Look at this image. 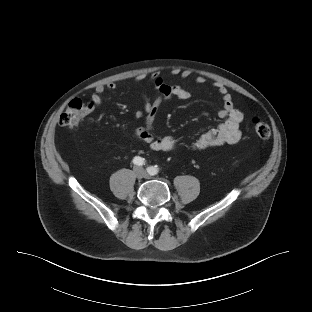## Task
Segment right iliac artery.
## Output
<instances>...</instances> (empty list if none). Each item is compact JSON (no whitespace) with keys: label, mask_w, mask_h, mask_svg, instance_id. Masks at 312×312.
Instances as JSON below:
<instances>
[{"label":"right iliac artery","mask_w":312,"mask_h":312,"mask_svg":"<svg viewBox=\"0 0 312 312\" xmlns=\"http://www.w3.org/2000/svg\"><path fill=\"white\" fill-rule=\"evenodd\" d=\"M133 163L138 166L145 165V159L139 156L134 157Z\"/></svg>","instance_id":"82829eb1"}]
</instances>
